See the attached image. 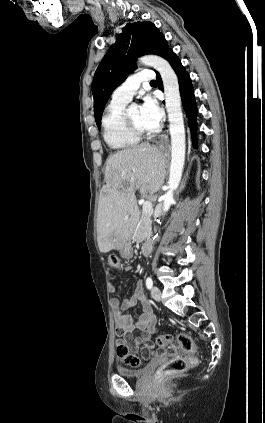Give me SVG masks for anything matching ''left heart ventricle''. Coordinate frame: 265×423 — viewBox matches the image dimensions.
Segmentation results:
<instances>
[{"label": "left heart ventricle", "instance_id": "obj_1", "mask_svg": "<svg viewBox=\"0 0 265 423\" xmlns=\"http://www.w3.org/2000/svg\"><path fill=\"white\" fill-rule=\"evenodd\" d=\"M129 116L132 121L141 129L150 130L151 128L144 122L139 107H133L129 110Z\"/></svg>", "mask_w": 265, "mask_h": 423}]
</instances>
